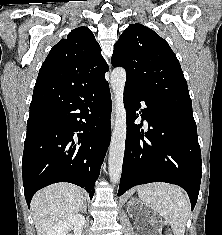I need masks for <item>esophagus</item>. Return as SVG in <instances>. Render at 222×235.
<instances>
[{"instance_id": "obj_1", "label": "esophagus", "mask_w": 222, "mask_h": 235, "mask_svg": "<svg viewBox=\"0 0 222 235\" xmlns=\"http://www.w3.org/2000/svg\"><path fill=\"white\" fill-rule=\"evenodd\" d=\"M115 116H116V110L115 106L113 107L112 113H111V127L113 128L114 123H115Z\"/></svg>"}]
</instances>
